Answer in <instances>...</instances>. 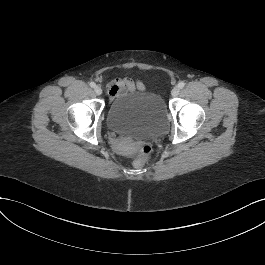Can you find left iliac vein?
I'll return each mask as SVG.
<instances>
[{
	"label": "left iliac vein",
	"mask_w": 265,
	"mask_h": 265,
	"mask_svg": "<svg viewBox=\"0 0 265 265\" xmlns=\"http://www.w3.org/2000/svg\"><path fill=\"white\" fill-rule=\"evenodd\" d=\"M179 92H180L179 87H174V88L172 89V91H171V95H172L173 97H176V96H178Z\"/></svg>",
	"instance_id": "1"
}]
</instances>
